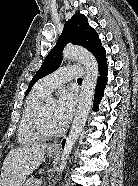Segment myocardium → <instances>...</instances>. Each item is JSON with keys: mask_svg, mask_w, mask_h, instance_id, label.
Segmentation results:
<instances>
[{"mask_svg": "<svg viewBox=\"0 0 138 186\" xmlns=\"http://www.w3.org/2000/svg\"><path fill=\"white\" fill-rule=\"evenodd\" d=\"M49 101L50 99L48 98L43 100L39 104V106L34 110L29 120V127H30L31 132L41 139H49V138L58 137L61 134H63L66 129L65 125L61 129L55 132H49L44 128L42 124V118H43V114L45 112V109Z\"/></svg>", "mask_w": 138, "mask_h": 186, "instance_id": "myocardium-1", "label": "myocardium"}]
</instances>
